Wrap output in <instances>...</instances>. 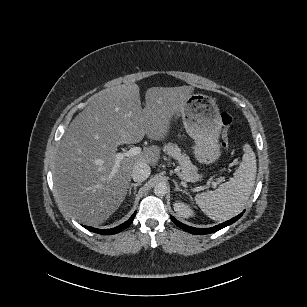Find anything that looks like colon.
Returning <instances> with one entry per match:
<instances>
[{
    "label": "colon",
    "instance_id": "5ec220e1",
    "mask_svg": "<svg viewBox=\"0 0 307 307\" xmlns=\"http://www.w3.org/2000/svg\"><path fill=\"white\" fill-rule=\"evenodd\" d=\"M222 134H221V146L223 150L228 148V131L232 123V116L227 111L221 112Z\"/></svg>",
    "mask_w": 307,
    "mask_h": 307
}]
</instances>
